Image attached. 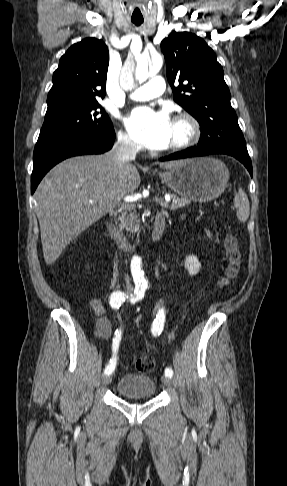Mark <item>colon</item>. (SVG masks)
Returning a JSON list of instances; mask_svg holds the SVG:
<instances>
[{"mask_svg": "<svg viewBox=\"0 0 287 486\" xmlns=\"http://www.w3.org/2000/svg\"><path fill=\"white\" fill-rule=\"evenodd\" d=\"M224 247L228 259V266L225 271V277L222 280L223 283L235 278L239 273L241 265V253L237 239L232 235L227 236L224 241ZM154 365L153 358L149 356H141L134 362L136 370L142 373L151 372Z\"/></svg>", "mask_w": 287, "mask_h": 486, "instance_id": "1", "label": "colon"}]
</instances>
